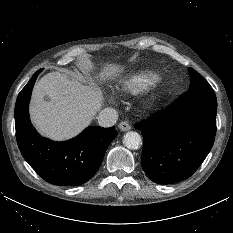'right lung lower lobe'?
<instances>
[{
  "label": "right lung lower lobe",
  "mask_w": 233,
  "mask_h": 233,
  "mask_svg": "<svg viewBox=\"0 0 233 233\" xmlns=\"http://www.w3.org/2000/svg\"><path fill=\"white\" fill-rule=\"evenodd\" d=\"M37 71L18 95L15 105L16 139L28 164L47 182L76 186L98 170L106 149L116 137L114 127L90 126L76 138L53 142L37 133L30 122L28 106Z\"/></svg>",
  "instance_id": "right-lung-lower-lobe-1"
}]
</instances>
